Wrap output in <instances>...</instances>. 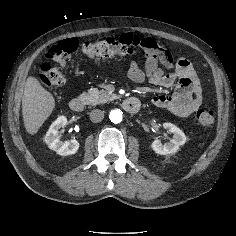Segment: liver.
Segmentation results:
<instances>
[{
  "mask_svg": "<svg viewBox=\"0 0 236 236\" xmlns=\"http://www.w3.org/2000/svg\"><path fill=\"white\" fill-rule=\"evenodd\" d=\"M55 99L35 77H28L22 98V115L26 131L34 135L51 115Z\"/></svg>",
  "mask_w": 236,
  "mask_h": 236,
  "instance_id": "obj_1",
  "label": "liver"
}]
</instances>
